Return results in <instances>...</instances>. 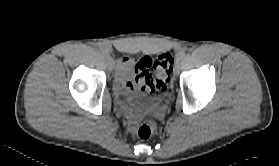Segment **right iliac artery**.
Here are the masks:
<instances>
[{
    "label": "right iliac artery",
    "instance_id": "1",
    "mask_svg": "<svg viewBox=\"0 0 279 166\" xmlns=\"http://www.w3.org/2000/svg\"><path fill=\"white\" fill-rule=\"evenodd\" d=\"M100 53H101V55H103V56H105V57H108V56H109L108 51H106L105 49H101Z\"/></svg>",
    "mask_w": 279,
    "mask_h": 166
}]
</instances>
